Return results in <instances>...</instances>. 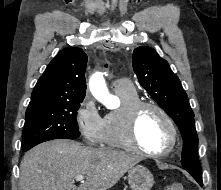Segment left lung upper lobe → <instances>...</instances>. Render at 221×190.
<instances>
[{"label": "left lung upper lobe", "mask_w": 221, "mask_h": 190, "mask_svg": "<svg viewBox=\"0 0 221 190\" xmlns=\"http://www.w3.org/2000/svg\"><path fill=\"white\" fill-rule=\"evenodd\" d=\"M132 64L140 85L173 118L182 133L183 168L193 177H202L194 113L179 78L172 72L168 62L151 47L134 49Z\"/></svg>", "instance_id": "obj_1"}]
</instances>
